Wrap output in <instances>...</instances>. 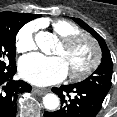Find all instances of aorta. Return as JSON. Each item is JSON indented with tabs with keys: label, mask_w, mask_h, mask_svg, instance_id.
I'll use <instances>...</instances> for the list:
<instances>
[{
	"label": "aorta",
	"mask_w": 117,
	"mask_h": 117,
	"mask_svg": "<svg viewBox=\"0 0 117 117\" xmlns=\"http://www.w3.org/2000/svg\"><path fill=\"white\" fill-rule=\"evenodd\" d=\"M37 46L41 51L48 54L54 47L55 39L50 32L40 31L35 36ZM43 105L48 110H55L59 106V98L53 93L46 94L43 97Z\"/></svg>",
	"instance_id": "aorta-1"
}]
</instances>
